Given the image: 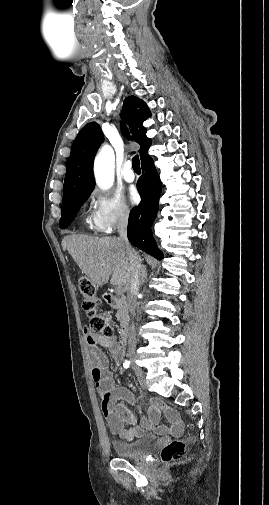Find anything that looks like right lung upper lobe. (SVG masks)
<instances>
[{
    "mask_svg": "<svg viewBox=\"0 0 269 505\" xmlns=\"http://www.w3.org/2000/svg\"><path fill=\"white\" fill-rule=\"evenodd\" d=\"M150 115L149 108L139 98L129 96L124 100L121 129L125 136L140 144L138 152L141 161L149 157L147 151L151 145V139L146 136V128L142 123ZM124 123L129 125L132 136L129 135ZM103 139L102 131L96 122L88 123L79 132L67 162L63 201L81 192L93 190L95 185L92 170L93 160Z\"/></svg>",
    "mask_w": 269,
    "mask_h": 505,
    "instance_id": "1",
    "label": "right lung upper lobe"
}]
</instances>
